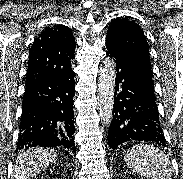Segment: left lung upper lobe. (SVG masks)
Segmentation results:
<instances>
[{"instance_id": "1", "label": "left lung upper lobe", "mask_w": 183, "mask_h": 179, "mask_svg": "<svg viewBox=\"0 0 183 179\" xmlns=\"http://www.w3.org/2000/svg\"><path fill=\"white\" fill-rule=\"evenodd\" d=\"M138 60L142 61L152 80L149 46L140 26L127 16L116 18L108 28L107 36ZM153 82V81H152Z\"/></svg>"}]
</instances>
